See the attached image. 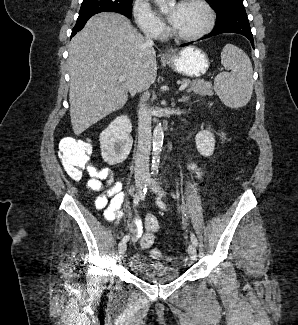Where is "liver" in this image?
Returning a JSON list of instances; mask_svg holds the SVG:
<instances>
[{
    "instance_id": "obj_1",
    "label": "liver",
    "mask_w": 298,
    "mask_h": 325,
    "mask_svg": "<svg viewBox=\"0 0 298 325\" xmlns=\"http://www.w3.org/2000/svg\"><path fill=\"white\" fill-rule=\"evenodd\" d=\"M70 118L74 134L149 88L156 80L157 60L153 46L130 20L117 12H99L86 22L69 44ZM125 76L124 82H118Z\"/></svg>"
}]
</instances>
